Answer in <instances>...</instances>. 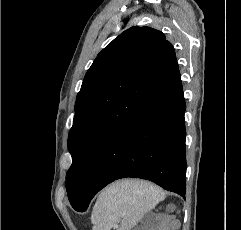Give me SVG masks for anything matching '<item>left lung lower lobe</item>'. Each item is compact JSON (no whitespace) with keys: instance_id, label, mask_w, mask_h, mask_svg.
I'll return each instance as SVG.
<instances>
[{"instance_id":"1","label":"left lung lower lobe","mask_w":241,"mask_h":230,"mask_svg":"<svg viewBox=\"0 0 241 230\" xmlns=\"http://www.w3.org/2000/svg\"><path fill=\"white\" fill-rule=\"evenodd\" d=\"M178 71L101 149L79 203L85 211L94 195L114 180H150L168 191L185 195V113Z\"/></svg>"}]
</instances>
